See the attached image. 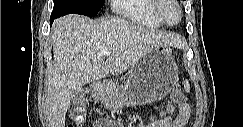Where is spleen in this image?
I'll return each mask as SVG.
<instances>
[{"label": "spleen", "instance_id": "obj_1", "mask_svg": "<svg viewBox=\"0 0 243 127\" xmlns=\"http://www.w3.org/2000/svg\"><path fill=\"white\" fill-rule=\"evenodd\" d=\"M184 88H185L186 92L190 91L189 83L187 80L184 82Z\"/></svg>", "mask_w": 243, "mask_h": 127}]
</instances>
